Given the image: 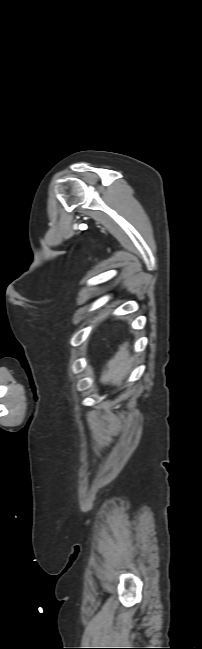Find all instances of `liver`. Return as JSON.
<instances>
[{
    "mask_svg": "<svg viewBox=\"0 0 202 649\" xmlns=\"http://www.w3.org/2000/svg\"><path fill=\"white\" fill-rule=\"evenodd\" d=\"M128 346L127 342L120 345L114 357L107 362L106 368L100 377L102 383H111L113 385L122 384L131 368Z\"/></svg>",
    "mask_w": 202,
    "mask_h": 649,
    "instance_id": "obj_1",
    "label": "liver"
}]
</instances>
